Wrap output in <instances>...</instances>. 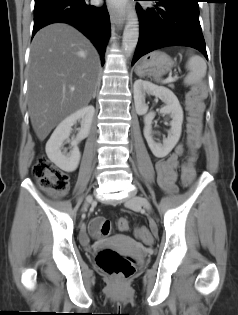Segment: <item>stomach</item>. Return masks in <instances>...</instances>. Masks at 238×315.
<instances>
[{"label":"stomach","mask_w":238,"mask_h":315,"mask_svg":"<svg viewBox=\"0 0 238 315\" xmlns=\"http://www.w3.org/2000/svg\"><path fill=\"white\" fill-rule=\"evenodd\" d=\"M174 65L169 55L162 51H154L146 55L136 66L138 76H162L171 71Z\"/></svg>","instance_id":"obj_1"}]
</instances>
